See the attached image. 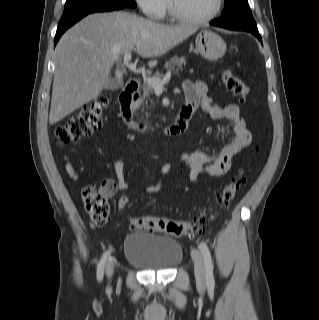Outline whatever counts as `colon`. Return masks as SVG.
<instances>
[{"label": "colon", "instance_id": "1", "mask_svg": "<svg viewBox=\"0 0 319 320\" xmlns=\"http://www.w3.org/2000/svg\"><path fill=\"white\" fill-rule=\"evenodd\" d=\"M223 85L235 96L241 99L247 98L250 89L238 76L228 70L221 74ZM109 104L106 96H99L95 100L86 103L69 120L56 130V138L60 144H69L89 137L98 131L103 124V112ZM245 184V177L238 176L227 183L216 196L217 204L227 208L236 193ZM115 184L111 180H105L98 189L85 188L82 192L83 203L86 212L92 222L103 225L109 220V204L107 198L114 192ZM127 204L128 199H123ZM130 226L156 233H166L176 237H193L205 232V220H177L165 216L141 215L130 218Z\"/></svg>", "mask_w": 319, "mask_h": 320}]
</instances>
